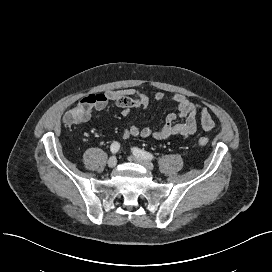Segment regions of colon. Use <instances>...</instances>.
<instances>
[{"mask_svg": "<svg viewBox=\"0 0 272 272\" xmlns=\"http://www.w3.org/2000/svg\"><path fill=\"white\" fill-rule=\"evenodd\" d=\"M207 144H208V139H207V138H205V137H200V138L198 139V145H199V146L205 147V146H207Z\"/></svg>", "mask_w": 272, "mask_h": 272, "instance_id": "obj_1", "label": "colon"}]
</instances>
